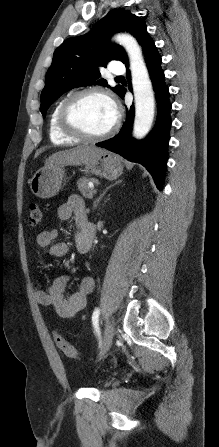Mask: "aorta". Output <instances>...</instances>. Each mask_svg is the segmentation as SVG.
<instances>
[{"label": "aorta", "instance_id": "obj_1", "mask_svg": "<svg viewBox=\"0 0 219 447\" xmlns=\"http://www.w3.org/2000/svg\"><path fill=\"white\" fill-rule=\"evenodd\" d=\"M114 40L122 45L129 57L132 86L135 97L133 135L141 139L149 132L154 118V93L145 65L142 50L136 39L126 33L117 34Z\"/></svg>", "mask_w": 219, "mask_h": 447}]
</instances>
